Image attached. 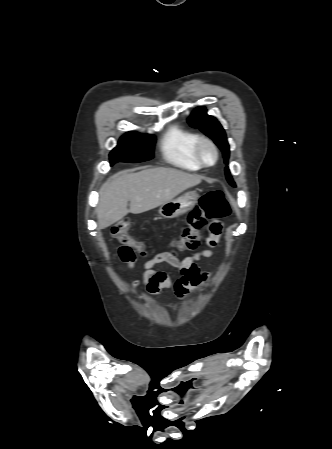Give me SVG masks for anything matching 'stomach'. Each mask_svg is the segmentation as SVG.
<instances>
[{"mask_svg": "<svg viewBox=\"0 0 332 449\" xmlns=\"http://www.w3.org/2000/svg\"><path fill=\"white\" fill-rule=\"evenodd\" d=\"M199 195L190 191L177 199H172L159 207V214L164 218H175L190 211L198 202Z\"/></svg>", "mask_w": 332, "mask_h": 449, "instance_id": "0dacf381", "label": "stomach"}]
</instances>
